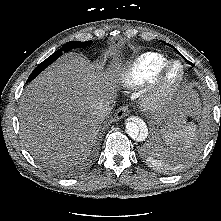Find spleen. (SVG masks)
<instances>
[{
	"mask_svg": "<svg viewBox=\"0 0 221 221\" xmlns=\"http://www.w3.org/2000/svg\"><path fill=\"white\" fill-rule=\"evenodd\" d=\"M163 139L173 149H189L196 140L194 126L192 124H182L178 128L163 133Z\"/></svg>",
	"mask_w": 221,
	"mask_h": 221,
	"instance_id": "spleen-1",
	"label": "spleen"
}]
</instances>
